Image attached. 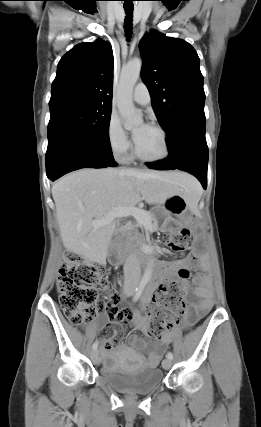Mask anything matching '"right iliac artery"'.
<instances>
[{
  "label": "right iliac artery",
  "instance_id": "obj_1",
  "mask_svg": "<svg viewBox=\"0 0 261 427\" xmlns=\"http://www.w3.org/2000/svg\"><path fill=\"white\" fill-rule=\"evenodd\" d=\"M146 284H147V281H145V280H142L140 282L138 288L136 289V293L132 299L133 302H136L141 297L142 292H143ZM92 348H93V350H96L98 348V342L97 341L94 342Z\"/></svg>",
  "mask_w": 261,
  "mask_h": 427
}]
</instances>
